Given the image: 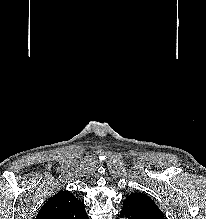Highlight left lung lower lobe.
<instances>
[{
	"instance_id": "0a47b994",
	"label": "left lung lower lobe",
	"mask_w": 206,
	"mask_h": 219,
	"mask_svg": "<svg viewBox=\"0 0 206 219\" xmlns=\"http://www.w3.org/2000/svg\"><path fill=\"white\" fill-rule=\"evenodd\" d=\"M120 216L126 217L128 219H145L144 217L135 214L133 211L127 208L122 209Z\"/></svg>"
}]
</instances>
